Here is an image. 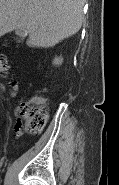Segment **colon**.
<instances>
[{
	"mask_svg": "<svg viewBox=\"0 0 119 185\" xmlns=\"http://www.w3.org/2000/svg\"><path fill=\"white\" fill-rule=\"evenodd\" d=\"M45 118V113L38 102L30 105L25 112L27 131L33 134L40 133L44 127Z\"/></svg>",
	"mask_w": 119,
	"mask_h": 185,
	"instance_id": "colon-1",
	"label": "colon"
}]
</instances>
